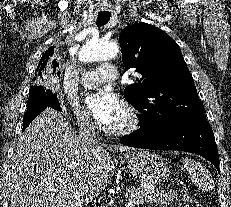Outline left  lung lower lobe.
<instances>
[{
	"instance_id": "obj_1",
	"label": "left lung lower lobe",
	"mask_w": 231,
	"mask_h": 207,
	"mask_svg": "<svg viewBox=\"0 0 231 207\" xmlns=\"http://www.w3.org/2000/svg\"><path fill=\"white\" fill-rule=\"evenodd\" d=\"M120 141L137 148L195 153L208 159L220 171L214 134L205 114L183 118L159 133L138 130Z\"/></svg>"
}]
</instances>
